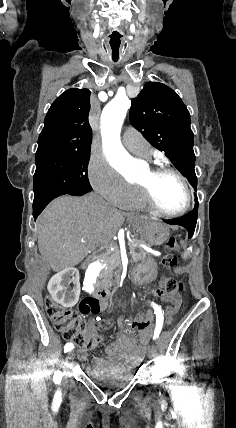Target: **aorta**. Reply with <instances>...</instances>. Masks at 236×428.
Instances as JSON below:
<instances>
[{
    "label": "aorta",
    "instance_id": "obj_1",
    "mask_svg": "<svg viewBox=\"0 0 236 428\" xmlns=\"http://www.w3.org/2000/svg\"><path fill=\"white\" fill-rule=\"evenodd\" d=\"M131 103L126 95H117L103 109L101 115V137L103 151L113 166L124 172L127 178L136 176L133 158L120 140L121 127ZM104 265L100 261L89 264L84 278V288L89 293L99 278Z\"/></svg>",
    "mask_w": 236,
    "mask_h": 428
}]
</instances>
